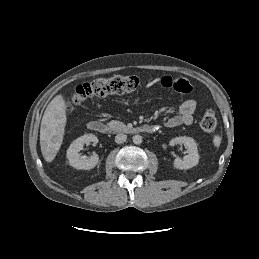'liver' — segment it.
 <instances>
[{
	"label": "liver",
	"mask_w": 259,
	"mask_h": 259,
	"mask_svg": "<svg viewBox=\"0 0 259 259\" xmlns=\"http://www.w3.org/2000/svg\"><path fill=\"white\" fill-rule=\"evenodd\" d=\"M66 110L64 97L59 94L48 104L42 117L40 146L46 162L54 160L62 145L67 122Z\"/></svg>",
	"instance_id": "6515ba94"
}]
</instances>
